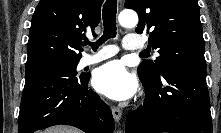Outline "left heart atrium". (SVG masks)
Wrapping results in <instances>:
<instances>
[{
	"label": "left heart atrium",
	"instance_id": "obj_1",
	"mask_svg": "<svg viewBox=\"0 0 221 133\" xmlns=\"http://www.w3.org/2000/svg\"><path fill=\"white\" fill-rule=\"evenodd\" d=\"M92 84L98 92L115 100L127 99L137 89L133 76L119 60L107 62L97 68Z\"/></svg>",
	"mask_w": 221,
	"mask_h": 133
}]
</instances>
